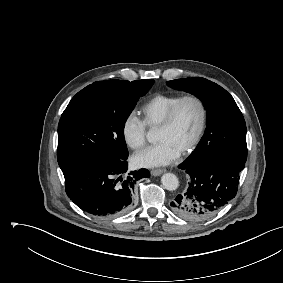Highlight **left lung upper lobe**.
Instances as JSON below:
<instances>
[{
	"instance_id": "5c2ea615",
	"label": "left lung upper lobe",
	"mask_w": 283,
	"mask_h": 283,
	"mask_svg": "<svg viewBox=\"0 0 283 283\" xmlns=\"http://www.w3.org/2000/svg\"><path fill=\"white\" fill-rule=\"evenodd\" d=\"M171 88L198 97L207 110V128L196 149L184 163L195 165L215 158L247 159L246 124L233 97L205 78L168 81Z\"/></svg>"
}]
</instances>
